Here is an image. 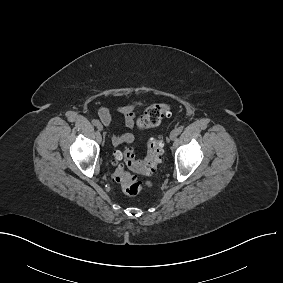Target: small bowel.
<instances>
[{"label":"small bowel","mask_w":283,"mask_h":283,"mask_svg":"<svg viewBox=\"0 0 283 283\" xmlns=\"http://www.w3.org/2000/svg\"><path fill=\"white\" fill-rule=\"evenodd\" d=\"M137 106L134 104L119 105L116 107V111L122 116L124 124L127 128H134L135 126V116H136ZM101 122L105 126H109L113 120V113L106 107H101L98 112ZM135 136L131 132H125L123 134H115L112 137V144L114 146H119L124 143H132Z\"/></svg>","instance_id":"obj_1"}]
</instances>
